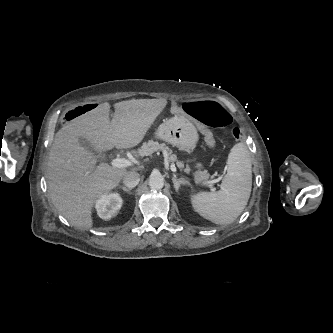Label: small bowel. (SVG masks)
<instances>
[{"label": "small bowel", "instance_id": "c3829d8e", "mask_svg": "<svg viewBox=\"0 0 333 333\" xmlns=\"http://www.w3.org/2000/svg\"><path fill=\"white\" fill-rule=\"evenodd\" d=\"M170 111L173 112L177 116H181L184 118L185 121L190 123L193 127H196V129L203 134L205 137L206 142L209 144L210 149H215L216 148V143L214 142L213 136L210 134V130L200 123L198 119H196L194 116L191 114H188V112L184 109H181L179 106L176 105H171L170 106Z\"/></svg>", "mask_w": 333, "mask_h": 333}]
</instances>
